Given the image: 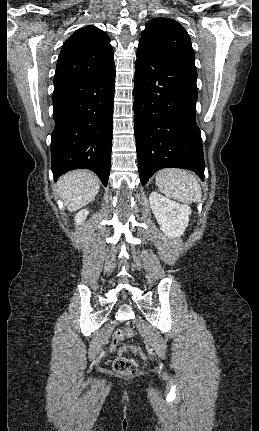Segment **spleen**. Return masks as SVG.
<instances>
[{
	"instance_id": "1",
	"label": "spleen",
	"mask_w": 259,
	"mask_h": 431,
	"mask_svg": "<svg viewBox=\"0 0 259 431\" xmlns=\"http://www.w3.org/2000/svg\"><path fill=\"white\" fill-rule=\"evenodd\" d=\"M159 190L169 198L190 204L201 200L202 191L197 178L183 169L166 168L155 175Z\"/></svg>"
}]
</instances>
